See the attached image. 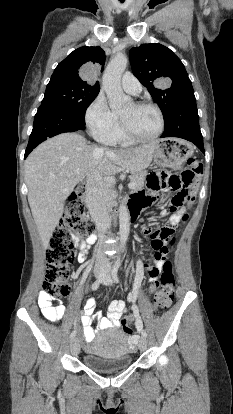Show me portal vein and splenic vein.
Wrapping results in <instances>:
<instances>
[{
    "label": "portal vein and splenic vein",
    "instance_id": "portal-vein-and-splenic-vein-1",
    "mask_svg": "<svg viewBox=\"0 0 233 414\" xmlns=\"http://www.w3.org/2000/svg\"><path fill=\"white\" fill-rule=\"evenodd\" d=\"M105 180L109 183V184H115L116 180L114 177L112 176H106ZM129 189H133L134 188V183H129L128 184Z\"/></svg>",
    "mask_w": 233,
    "mask_h": 414
}]
</instances>
